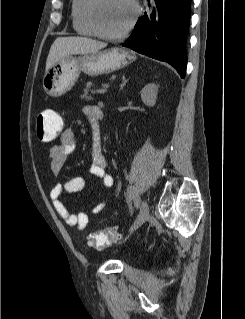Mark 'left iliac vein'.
Here are the masks:
<instances>
[{"label":"left iliac vein","instance_id":"obj_1","mask_svg":"<svg viewBox=\"0 0 245 319\" xmlns=\"http://www.w3.org/2000/svg\"><path fill=\"white\" fill-rule=\"evenodd\" d=\"M149 216V205L148 203L143 200L140 204V212L139 215L131 228V232L135 231L138 227H140L148 218Z\"/></svg>","mask_w":245,"mask_h":319}]
</instances>
